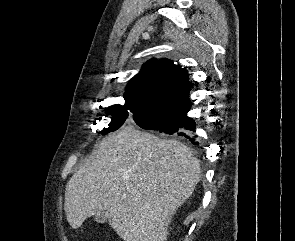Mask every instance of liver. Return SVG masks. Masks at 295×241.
Wrapping results in <instances>:
<instances>
[{"label":"liver","instance_id":"1","mask_svg":"<svg viewBox=\"0 0 295 241\" xmlns=\"http://www.w3.org/2000/svg\"><path fill=\"white\" fill-rule=\"evenodd\" d=\"M200 173L185 144L124 127L103 139L68 181L67 221L77 229L104 213L124 241H167L171 218Z\"/></svg>","mask_w":295,"mask_h":241}]
</instances>
